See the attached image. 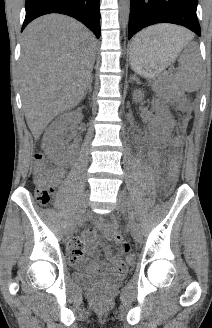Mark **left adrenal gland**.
<instances>
[{
	"instance_id": "left-adrenal-gland-1",
	"label": "left adrenal gland",
	"mask_w": 212,
	"mask_h": 328,
	"mask_svg": "<svg viewBox=\"0 0 212 328\" xmlns=\"http://www.w3.org/2000/svg\"><path fill=\"white\" fill-rule=\"evenodd\" d=\"M131 79H133V80H135L136 82H138V78L136 77V75H133V76L131 77Z\"/></svg>"
}]
</instances>
